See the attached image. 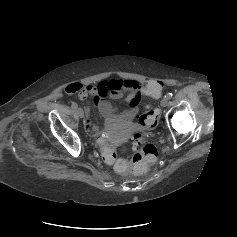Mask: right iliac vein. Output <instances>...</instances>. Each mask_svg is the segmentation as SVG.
I'll return each mask as SVG.
<instances>
[{
  "label": "right iliac vein",
  "mask_w": 237,
  "mask_h": 237,
  "mask_svg": "<svg viewBox=\"0 0 237 237\" xmlns=\"http://www.w3.org/2000/svg\"><path fill=\"white\" fill-rule=\"evenodd\" d=\"M76 113L80 118L84 117V111L81 108H77Z\"/></svg>",
  "instance_id": "right-iliac-vein-1"
}]
</instances>
